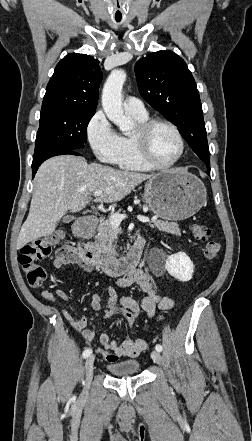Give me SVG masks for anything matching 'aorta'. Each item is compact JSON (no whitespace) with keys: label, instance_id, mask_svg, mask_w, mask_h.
I'll list each match as a JSON object with an SVG mask.
<instances>
[{"label":"aorta","instance_id":"obj_1","mask_svg":"<svg viewBox=\"0 0 252 441\" xmlns=\"http://www.w3.org/2000/svg\"><path fill=\"white\" fill-rule=\"evenodd\" d=\"M126 80L124 70H113L108 76L102 90V107L110 121L116 124L121 131L132 130L133 121L124 115L122 107V88Z\"/></svg>","mask_w":252,"mask_h":441}]
</instances>
